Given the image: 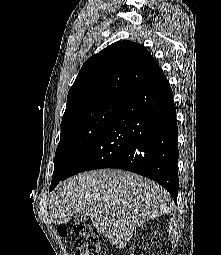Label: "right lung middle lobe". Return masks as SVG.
<instances>
[{
	"label": "right lung middle lobe",
	"instance_id": "dd1d6c3e",
	"mask_svg": "<svg viewBox=\"0 0 221 255\" xmlns=\"http://www.w3.org/2000/svg\"><path fill=\"white\" fill-rule=\"evenodd\" d=\"M119 104H103L75 112L61 122L51 186L58 184L102 131ZM50 186V187H51Z\"/></svg>",
	"mask_w": 221,
	"mask_h": 255
}]
</instances>
